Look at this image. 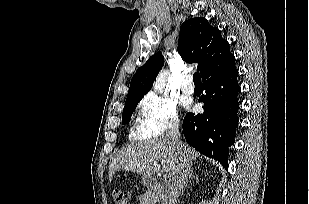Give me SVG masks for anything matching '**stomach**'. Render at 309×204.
<instances>
[{"label": "stomach", "instance_id": "1", "mask_svg": "<svg viewBox=\"0 0 309 204\" xmlns=\"http://www.w3.org/2000/svg\"><path fill=\"white\" fill-rule=\"evenodd\" d=\"M142 181L143 183L148 184L150 182V177L142 176Z\"/></svg>", "mask_w": 309, "mask_h": 204}]
</instances>
